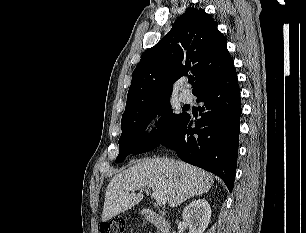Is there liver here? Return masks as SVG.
<instances>
[{"instance_id": "6515ba94", "label": "liver", "mask_w": 306, "mask_h": 233, "mask_svg": "<svg viewBox=\"0 0 306 233\" xmlns=\"http://www.w3.org/2000/svg\"><path fill=\"white\" fill-rule=\"evenodd\" d=\"M138 184L163 194L173 208L190 197L208 192L213 178L208 172L182 161L168 158L142 160L110 180L105 193L103 222L141 202L143 194L129 190Z\"/></svg>"}]
</instances>
